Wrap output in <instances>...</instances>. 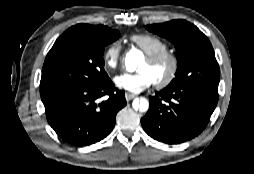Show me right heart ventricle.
<instances>
[{
	"instance_id": "right-heart-ventricle-1",
	"label": "right heart ventricle",
	"mask_w": 254,
	"mask_h": 174,
	"mask_svg": "<svg viewBox=\"0 0 254 174\" xmlns=\"http://www.w3.org/2000/svg\"><path fill=\"white\" fill-rule=\"evenodd\" d=\"M130 40L146 55H151L168 49V44L165 40L150 33L134 34L130 37Z\"/></svg>"
}]
</instances>
